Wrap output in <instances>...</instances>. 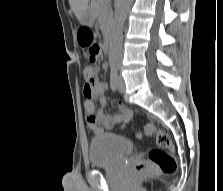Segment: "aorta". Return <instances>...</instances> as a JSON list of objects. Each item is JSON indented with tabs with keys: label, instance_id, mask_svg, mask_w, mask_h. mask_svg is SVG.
<instances>
[{
	"label": "aorta",
	"instance_id": "1",
	"mask_svg": "<svg viewBox=\"0 0 223 191\" xmlns=\"http://www.w3.org/2000/svg\"><path fill=\"white\" fill-rule=\"evenodd\" d=\"M132 0H117L114 14V32L110 42L109 62L119 65L122 59L123 26Z\"/></svg>",
	"mask_w": 223,
	"mask_h": 191
}]
</instances>
